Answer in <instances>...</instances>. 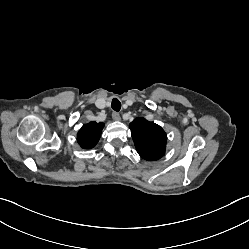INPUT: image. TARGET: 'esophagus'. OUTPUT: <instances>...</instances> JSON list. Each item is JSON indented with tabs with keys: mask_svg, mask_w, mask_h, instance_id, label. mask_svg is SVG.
<instances>
[{
	"mask_svg": "<svg viewBox=\"0 0 249 249\" xmlns=\"http://www.w3.org/2000/svg\"><path fill=\"white\" fill-rule=\"evenodd\" d=\"M112 118L115 120V121H119L121 119L120 117V114L118 112H113L112 113Z\"/></svg>",
	"mask_w": 249,
	"mask_h": 249,
	"instance_id": "1",
	"label": "esophagus"
}]
</instances>
